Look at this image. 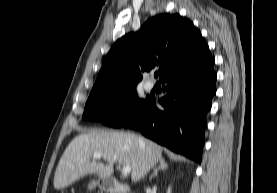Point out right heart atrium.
Here are the masks:
<instances>
[{"label":"right heart atrium","mask_w":277,"mask_h":193,"mask_svg":"<svg viewBox=\"0 0 277 193\" xmlns=\"http://www.w3.org/2000/svg\"><path fill=\"white\" fill-rule=\"evenodd\" d=\"M129 104L126 101H119L114 108V113L117 116H123L128 111Z\"/></svg>","instance_id":"obj_1"}]
</instances>
